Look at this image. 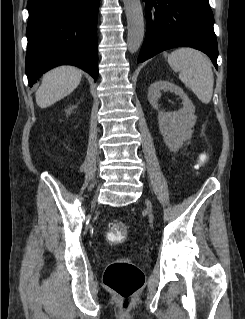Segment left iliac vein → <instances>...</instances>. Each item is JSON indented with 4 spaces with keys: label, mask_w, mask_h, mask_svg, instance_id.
I'll return each mask as SVG.
<instances>
[{
    "label": "left iliac vein",
    "mask_w": 245,
    "mask_h": 319,
    "mask_svg": "<svg viewBox=\"0 0 245 319\" xmlns=\"http://www.w3.org/2000/svg\"><path fill=\"white\" fill-rule=\"evenodd\" d=\"M147 208L152 212V205L149 200L146 201Z\"/></svg>",
    "instance_id": "4c4485c4"
}]
</instances>
